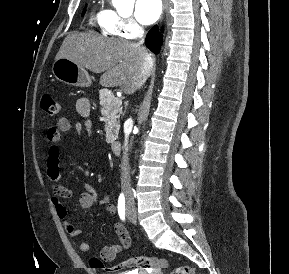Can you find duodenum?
Here are the masks:
<instances>
[{"instance_id":"1","label":"duodenum","mask_w":289,"mask_h":274,"mask_svg":"<svg viewBox=\"0 0 289 274\" xmlns=\"http://www.w3.org/2000/svg\"><path fill=\"white\" fill-rule=\"evenodd\" d=\"M111 149L114 154H120L121 152V142L120 141H113L111 143Z\"/></svg>"}]
</instances>
